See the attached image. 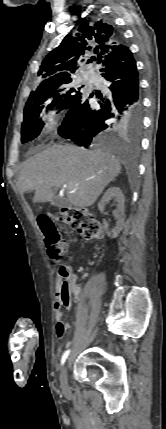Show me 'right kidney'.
Instances as JSON below:
<instances>
[{
    "mask_svg": "<svg viewBox=\"0 0 166 429\" xmlns=\"http://www.w3.org/2000/svg\"><path fill=\"white\" fill-rule=\"evenodd\" d=\"M111 198H114L117 202V209L113 211V215L116 218L117 222L116 226L112 230H109L107 227H105V230L109 237L116 238L124 226L125 196L122 193V190L117 186H111L110 188H108L102 196L100 202L98 203V209L102 212L104 210L105 204Z\"/></svg>",
    "mask_w": 166,
    "mask_h": 429,
    "instance_id": "ca27d5eb",
    "label": "right kidney"
}]
</instances>
